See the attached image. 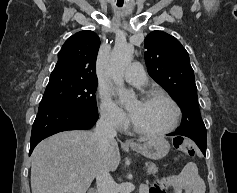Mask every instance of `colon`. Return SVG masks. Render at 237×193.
Segmentation results:
<instances>
[{
  "instance_id": "1",
  "label": "colon",
  "mask_w": 237,
  "mask_h": 193,
  "mask_svg": "<svg viewBox=\"0 0 237 193\" xmlns=\"http://www.w3.org/2000/svg\"><path fill=\"white\" fill-rule=\"evenodd\" d=\"M173 144L179 153L190 157L195 155V147L191 141L183 137H176Z\"/></svg>"
}]
</instances>
